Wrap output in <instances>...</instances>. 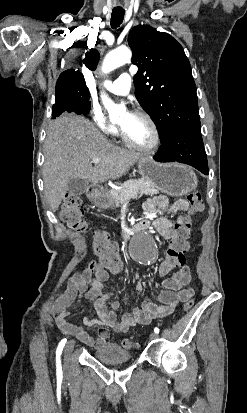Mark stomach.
<instances>
[{"mask_svg":"<svg viewBox=\"0 0 247 413\" xmlns=\"http://www.w3.org/2000/svg\"><path fill=\"white\" fill-rule=\"evenodd\" d=\"M139 172L156 188L170 194V196H183L195 190L198 178L191 166L179 162H156L153 156H143L138 162ZM92 198L96 207L109 209L114 200L107 190H95Z\"/></svg>","mask_w":247,"mask_h":413,"instance_id":"0dacf381","label":"stomach"}]
</instances>
